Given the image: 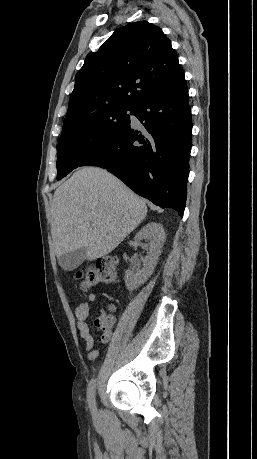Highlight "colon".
<instances>
[{
	"instance_id": "obj_1",
	"label": "colon",
	"mask_w": 257,
	"mask_h": 459,
	"mask_svg": "<svg viewBox=\"0 0 257 459\" xmlns=\"http://www.w3.org/2000/svg\"><path fill=\"white\" fill-rule=\"evenodd\" d=\"M116 259L112 256L99 258L87 269L77 273L81 287L88 289L99 283L112 281L116 275Z\"/></svg>"
}]
</instances>
